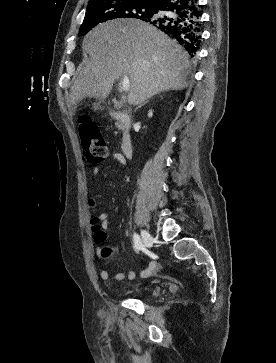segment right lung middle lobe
Listing matches in <instances>:
<instances>
[{
  "label": "right lung middle lobe",
  "instance_id": "1",
  "mask_svg": "<svg viewBox=\"0 0 276 363\" xmlns=\"http://www.w3.org/2000/svg\"><path fill=\"white\" fill-rule=\"evenodd\" d=\"M157 7L132 0H102L89 4L79 36L87 34L96 25L116 18L150 19Z\"/></svg>",
  "mask_w": 276,
  "mask_h": 363
}]
</instances>
